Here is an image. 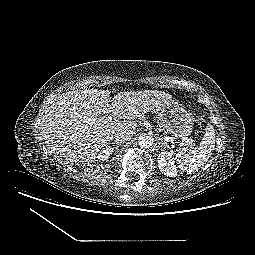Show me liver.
Segmentation results:
<instances>
[{
    "instance_id": "liver-1",
    "label": "liver",
    "mask_w": 255,
    "mask_h": 255,
    "mask_svg": "<svg viewBox=\"0 0 255 255\" xmlns=\"http://www.w3.org/2000/svg\"><path fill=\"white\" fill-rule=\"evenodd\" d=\"M109 96V90L98 89L61 94L40 123L48 151L71 162L95 161L117 131L135 130L136 119L172 99L158 90L118 92L112 100ZM108 115L118 120L109 122Z\"/></svg>"
}]
</instances>
